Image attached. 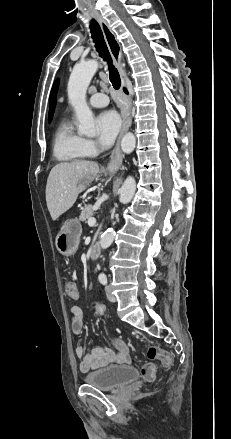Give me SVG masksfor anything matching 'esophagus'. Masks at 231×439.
<instances>
[{
    "mask_svg": "<svg viewBox=\"0 0 231 439\" xmlns=\"http://www.w3.org/2000/svg\"><path fill=\"white\" fill-rule=\"evenodd\" d=\"M94 16L102 28L106 43H107L108 48L110 50V53L113 57L115 65L119 71V74H120V77L122 80V85L125 86L126 74H125V70L121 64V61H122L121 45L118 42L112 29L107 24V22L99 14H94ZM131 122H132V120H131V99L128 98V108H127V111L124 115L123 126H122L121 132L119 134L115 148L111 154L110 161L106 167L108 172H112V173L117 172L122 164L123 154H122V151L120 149V142H121V139H122L123 135L125 134V132L131 126Z\"/></svg>",
    "mask_w": 231,
    "mask_h": 439,
    "instance_id": "obj_1",
    "label": "esophagus"
}]
</instances>
